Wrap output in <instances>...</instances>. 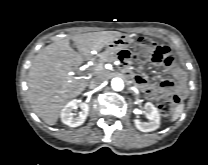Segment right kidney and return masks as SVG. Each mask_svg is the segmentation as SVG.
Here are the masks:
<instances>
[{
    "label": "right kidney",
    "instance_id": "ca27d5eb",
    "mask_svg": "<svg viewBox=\"0 0 208 165\" xmlns=\"http://www.w3.org/2000/svg\"><path fill=\"white\" fill-rule=\"evenodd\" d=\"M80 107L81 111L78 116H74L73 111ZM89 114V105L85 102L80 103L74 99L68 102L61 110V121L69 127L82 125Z\"/></svg>",
    "mask_w": 208,
    "mask_h": 165
}]
</instances>
